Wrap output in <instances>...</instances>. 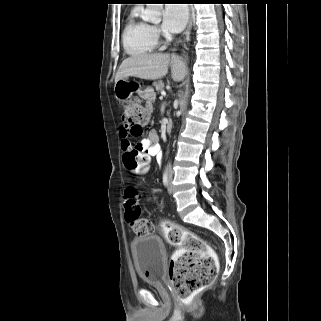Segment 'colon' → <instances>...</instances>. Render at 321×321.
I'll use <instances>...</instances> for the list:
<instances>
[{
    "mask_svg": "<svg viewBox=\"0 0 321 321\" xmlns=\"http://www.w3.org/2000/svg\"><path fill=\"white\" fill-rule=\"evenodd\" d=\"M121 119L133 136H141L149 119L148 109L139 99H128L122 104ZM124 164L132 173L148 169L150 159L144 153L133 150L124 155ZM125 219L137 235L150 234L153 223L140 216V193L127 187L124 193ZM167 242L178 247L169 266V277L177 296L187 301L209 286L218 273V260L213 249L195 233L164 220L160 224Z\"/></svg>",
    "mask_w": 321,
    "mask_h": 321,
    "instance_id": "obj_1",
    "label": "colon"
}]
</instances>
